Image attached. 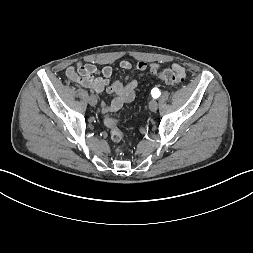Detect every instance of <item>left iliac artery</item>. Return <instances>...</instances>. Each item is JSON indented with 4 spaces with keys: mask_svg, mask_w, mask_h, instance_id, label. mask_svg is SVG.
Instances as JSON below:
<instances>
[{
    "mask_svg": "<svg viewBox=\"0 0 253 253\" xmlns=\"http://www.w3.org/2000/svg\"><path fill=\"white\" fill-rule=\"evenodd\" d=\"M151 94L153 98H158L160 96V91L157 88H153Z\"/></svg>",
    "mask_w": 253,
    "mask_h": 253,
    "instance_id": "1",
    "label": "left iliac artery"
}]
</instances>
